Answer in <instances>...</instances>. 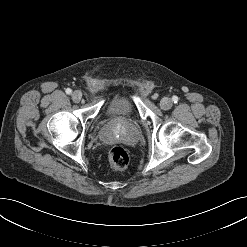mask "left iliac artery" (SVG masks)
Listing matches in <instances>:
<instances>
[{"instance_id": "left-iliac-artery-1", "label": "left iliac artery", "mask_w": 247, "mask_h": 247, "mask_svg": "<svg viewBox=\"0 0 247 247\" xmlns=\"http://www.w3.org/2000/svg\"><path fill=\"white\" fill-rule=\"evenodd\" d=\"M172 100L174 101V103L178 102V97L177 96H173Z\"/></svg>"}]
</instances>
